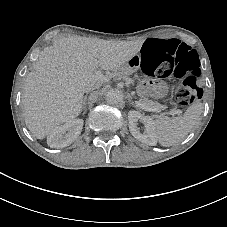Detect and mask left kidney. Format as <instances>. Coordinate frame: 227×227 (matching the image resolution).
I'll return each mask as SVG.
<instances>
[{"mask_svg":"<svg viewBox=\"0 0 227 227\" xmlns=\"http://www.w3.org/2000/svg\"><path fill=\"white\" fill-rule=\"evenodd\" d=\"M128 121L129 131L135 139L149 146L156 144V139L153 133L154 126L151 118L143 116L138 111L131 110L128 112ZM138 122H141L144 125L143 134H141L138 128Z\"/></svg>","mask_w":227,"mask_h":227,"instance_id":"5707ae66","label":"left kidney"}]
</instances>
